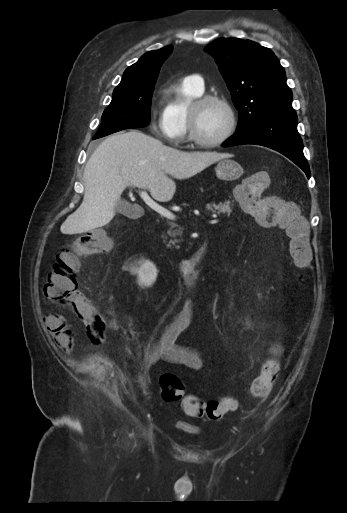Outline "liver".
<instances>
[{
	"label": "liver",
	"mask_w": 347,
	"mask_h": 513,
	"mask_svg": "<svg viewBox=\"0 0 347 513\" xmlns=\"http://www.w3.org/2000/svg\"><path fill=\"white\" fill-rule=\"evenodd\" d=\"M231 156L218 152H182L136 130L111 135L88 160L83 175V202L60 230L63 234H80L107 225L129 185L149 189L157 201H170L176 184L168 175L188 179Z\"/></svg>",
	"instance_id": "liver-1"
}]
</instances>
